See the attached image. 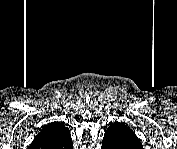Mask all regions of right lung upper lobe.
<instances>
[{
	"instance_id": "right-lung-upper-lobe-1",
	"label": "right lung upper lobe",
	"mask_w": 177,
	"mask_h": 149,
	"mask_svg": "<svg viewBox=\"0 0 177 149\" xmlns=\"http://www.w3.org/2000/svg\"><path fill=\"white\" fill-rule=\"evenodd\" d=\"M72 144L69 129L60 122H51L33 140L32 148L70 149Z\"/></svg>"
}]
</instances>
